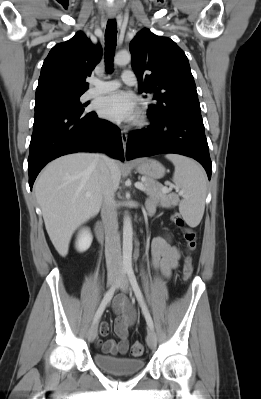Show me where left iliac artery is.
Here are the masks:
<instances>
[{
	"mask_svg": "<svg viewBox=\"0 0 261 399\" xmlns=\"http://www.w3.org/2000/svg\"><path fill=\"white\" fill-rule=\"evenodd\" d=\"M127 274H128L131 286L133 288V291L135 293V296H136V298L138 300V303H139V305H140V307L142 309V312L144 314V317L146 319L147 325L149 326L150 329H153L154 328V324H153L151 315L149 313V310H148V308L146 306V303L144 301L143 294H142L141 289H140V287L138 285V282L136 280V276L134 274L133 269L132 268H128L127 269Z\"/></svg>",
	"mask_w": 261,
	"mask_h": 399,
	"instance_id": "left-iliac-artery-1",
	"label": "left iliac artery"
}]
</instances>
